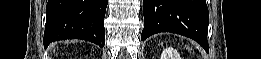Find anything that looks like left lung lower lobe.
<instances>
[{
    "mask_svg": "<svg viewBox=\"0 0 261 59\" xmlns=\"http://www.w3.org/2000/svg\"><path fill=\"white\" fill-rule=\"evenodd\" d=\"M141 40L159 32H172L198 42L208 52L209 14L205 0H143Z\"/></svg>",
    "mask_w": 261,
    "mask_h": 59,
    "instance_id": "obj_1",
    "label": "left lung lower lobe"
}]
</instances>
